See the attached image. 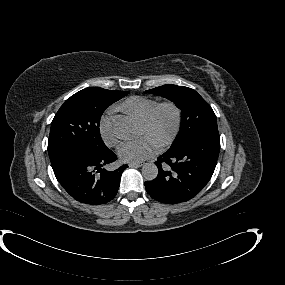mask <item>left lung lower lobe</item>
I'll use <instances>...</instances> for the list:
<instances>
[{"instance_id": "1", "label": "left lung lower lobe", "mask_w": 285, "mask_h": 285, "mask_svg": "<svg viewBox=\"0 0 285 285\" xmlns=\"http://www.w3.org/2000/svg\"><path fill=\"white\" fill-rule=\"evenodd\" d=\"M219 150L217 129L202 132L173 145L155 162L159 176L145 182L148 194L158 201L170 203L192 198L211 178Z\"/></svg>"}]
</instances>
